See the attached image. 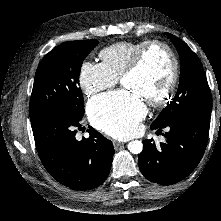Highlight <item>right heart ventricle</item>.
<instances>
[{
	"label": "right heart ventricle",
	"instance_id": "1",
	"mask_svg": "<svg viewBox=\"0 0 221 221\" xmlns=\"http://www.w3.org/2000/svg\"><path fill=\"white\" fill-rule=\"evenodd\" d=\"M145 41H121L101 50L99 56L104 68L117 79L121 78L124 70L130 64L135 52Z\"/></svg>",
	"mask_w": 221,
	"mask_h": 221
}]
</instances>
